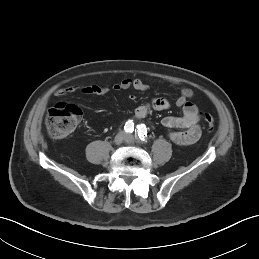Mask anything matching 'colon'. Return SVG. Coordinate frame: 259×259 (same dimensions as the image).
<instances>
[{
    "label": "colon",
    "mask_w": 259,
    "mask_h": 259,
    "mask_svg": "<svg viewBox=\"0 0 259 259\" xmlns=\"http://www.w3.org/2000/svg\"><path fill=\"white\" fill-rule=\"evenodd\" d=\"M82 111L70 103H61L52 108L46 117V127L49 135L55 139L67 137L76 127ZM204 125L208 131L216 128L215 119L208 113H202Z\"/></svg>",
    "instance_id": "1"
}]
</instances>
